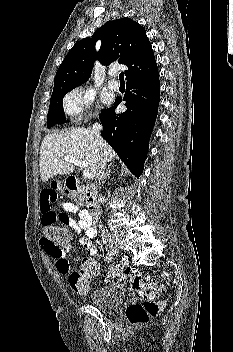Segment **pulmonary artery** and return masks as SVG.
<instances>
[{
    "instance_id": "obj_1",
    "label": "pulmonary artery",
    "mask_w": 233,
    "mask_h": 352,
    "mask_svg": "<svg viewBox=\"0 0 233 352\" xmlns=\"http://www.w3.org/2000/svg\"><path fill=\"white\" fill-rule=\"evenodd\" d=\"M114 74H115V72H112V73H111V75H114ZM108 87H109L111 90L116 91V90L119 89V83H118L116 80L111 79V80L108 81Z\"/></svg>"
}]
</instances>
